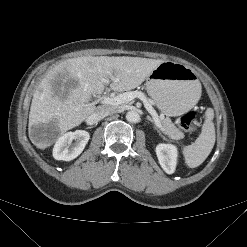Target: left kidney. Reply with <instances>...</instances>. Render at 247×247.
Returning a JSON list of instances; mask_svg holds the SVG:
<instances>
[{"mask_svg": "<svg viewBox=\"0 0 247 247\" xmlns=\"http://www.w3.org/2000/svg\"><path fill=\"white\" fill-rule=\"evenodd\" d=\"M156 155L162 169L167 174H172L177 165L178 151L172 144H159L156 147Z\"/></svg>", "mask_w": 247, "mask_h": 247, "instance_id": "obj_1", "label": "left kidney"}]
</instances>
